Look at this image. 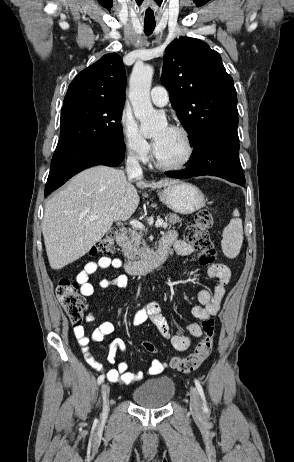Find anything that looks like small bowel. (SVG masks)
Masks as SVG:
<instances>
[{
    "instance_id": "small-bowel-1",
    "label": "small bowel",
    "mask_w": 294,
    "mask_h": 462,
    "mask_svg": "<svg viewBox=\"0 0 294 462\" xmlns=\"http://www.w3.org/2000/svg\"><path fill=\"white\" fill-rule=\"evenodd\" d=\"M162 242L167 243L169 247H173L175 252L181 256H188L194 253V249L190 244L185 241L178 240L176 232H168L162 239ZM120 268L122 261L118 258L102 257L98 260L89 261L85 264L84 268L77 275L76 281L80 286V293L84 297L92 296L95 292V287L91 283V276L99 269L106 268ZM209 278L215 280V287L213 291L200 290L196 294L197 304L192 308V314L199 320L209 319L217 314L221 302L226 293V286L228 285L231 272L229 268L221 263H213L208 268ZM114 284L118 287H125L127 285V277L119 275L114 280L109 281L102 279L99 286L106 288ZM86 320L93 322L96 320V315L92 310L87 313ZM150 320L160 334L168 339L177 351L187 350L192 342V338L200 337L202 335V328L198 323H189L183 327L177 328L174 332L171 330L167 318L163 314L162 305L159 301H151L142 306L133 316L132 324L139 326ZM114 326L111 322H102L91 334L87 336L83 326H76L74 328V335L81 346L82 353L86 362L96 369L97 371H104L103 366L95 359L90 350V342H100L106 336L111 334ZM117 350L122 353L127 351L125 342L122 339H115L108 348L107 360L110 364H115ZM167 367L166 363L159 360H154L147 370L148 375L160 374ZM107 379L117 384H130L142 379V372L132 373L128 372V365L122 361L117 364L113 369L106 372Z\"/></svg>"
}]
</instances>
